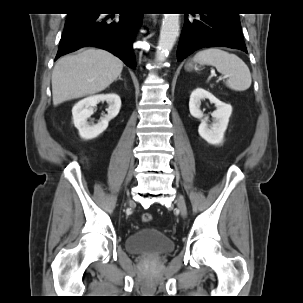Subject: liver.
Wrapping results in <instances>:
<instances>
[{
	"label": "liver",
	"mask_w": 303,
	"mask_h": 303,
	"mask_svg": "<svg viewBox=\"0 0 303 303\" xmlns=\"http://www.w3.org/2000/svg\"><path fill=\"white\" fill-rule=\"evenodd\" d=\"M122 69L119 58L101 49L88 48L60 58L52 73L53 105L103 91Z\"/></svg>",
	"instance_id": "1"
}]
</instances>
